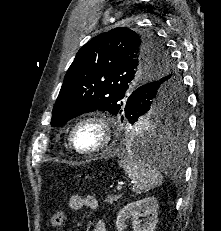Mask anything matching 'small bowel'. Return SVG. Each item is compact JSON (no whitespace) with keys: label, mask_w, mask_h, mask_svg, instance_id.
Returning <instances> with one entry per match:
<instances>
[{"label":"small bowel","mask_w":221,"mask_h":231,"mask_svg":"<svg viewBox=\"0 0 221 231\" xmlns=\"http://www.w3.org/2000/svg\"><path fill=\"white\" fill-rule=\"evenodd\" d=\"M69 206L72 210L88 209L90 211H96L98 209V201L93 196H80L73 195L69 199ZM92 231H107L104 221L97 220L94 223Z\"/></svg>","instance_id":"small-bowel-1"}]
</instances>
